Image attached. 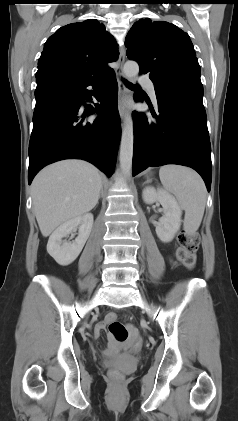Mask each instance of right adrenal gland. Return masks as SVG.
<instances>
[{
  "label": "right adrenal gland",
  "mask_w": 238,
  "mask_h": 421,
  "mask_svg": "<svg viewBox=\"0 0 238 421\" xmlns=\"http://www.w3.org/2000/svg\"><path fill=\"white\" fill-rule=\"evenodd\" d=\"M102 195H103V187L101 188V192H100L99 198L102 197Z\"/></svg>",
  "instance_id": "right-adrenal-gland-1"
}]
</instances>
